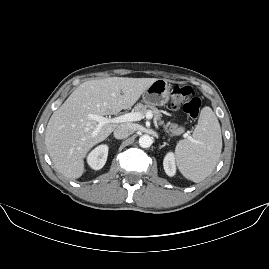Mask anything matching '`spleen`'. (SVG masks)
<instances>
[{
  "label": "spleen",
  "instance_id": "1",
  "mask_svg": "<svg viewBox=\"0 0 269 269\" xmlns=\"http://www.w3.org/2000/svg\"><path fill=\"white\" fill-rule=\"evenodd\" d=\"M193 139L194 142L189 139L179 141L175 148V158L183 176L199 183L212 173L222 150L220 124L208 106L201 110Z\"/></svg>",
  "mask_w": 269,
  "mask_h": 269
}]
</instances>
